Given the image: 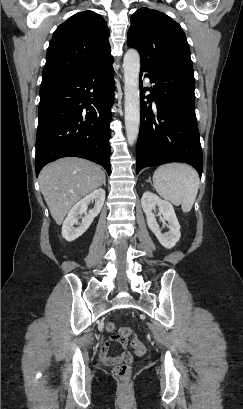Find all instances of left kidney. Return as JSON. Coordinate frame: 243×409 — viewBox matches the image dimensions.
<instances>
[{
    "label": "left kidney",
    "instance_id": "left-kidney-1",
    "mask_svg": "<svg viewBox=\"0 0 243 409\" xmlns=\"http://www.w3.org/2000/svg\"><path fill=\"white\" fill-rule=\"evenodd\" d=\"M141 205L146 215L148 227L155 234L160 244L167 249H171L172 247H174L180 240L181 233L180 224L176 217L173 206L169 202L160 199L156 194L148 191L143 194ZM156 205H158L159 211L162 214L163 218L168 222V233L162 234L156 221L155 215L152 212Z\"/></svg>",
    "mask_w": 243,
    "mask_h": 409
}]
</instances>
